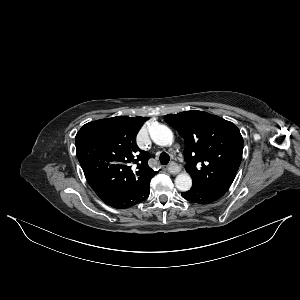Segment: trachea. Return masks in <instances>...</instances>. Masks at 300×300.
Returning a JSON list of instances; mask_svg holds the SVG:
<instances>
[{
  "label": "trachea",
  "mask_w": 300,
  "mask_h": 300,
  "mask_svg": "<svg viewBox=\"0 0 300 300\" xmlns=\"http://www.w3.org/2000/svg\"><path fill=\"white\" fill-rule=\"evenodd\" d=\"M159 161L161 165H166L170 161V156L166 152H162L160 154Z\"/></svg>",
  "instance_id": "1"
}]
</instances>
